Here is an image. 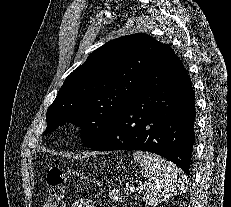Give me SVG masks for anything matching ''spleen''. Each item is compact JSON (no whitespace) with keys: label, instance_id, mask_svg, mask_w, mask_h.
I'll use <instances>...</instances> for the list:
<instances>
[{"label":"spleen","instance_id":"3e777b00","mask_svg":"<svg viewBox=\"0 0 231 207\" xmlns=\"http://www.w3.org/2000/svg\"><path fill=\"white\" fill-rule=\"evenodd\" d=\"M133 158L147 180L144 201L157 206L186 190V175L171 162L148 152L136 151Z\"/></svg>","mask_w":231,"mask_h":207}]
</instances>
